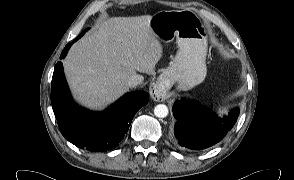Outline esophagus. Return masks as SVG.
<instances>
[{
	"label": "esophagus",
	"mask_w": 294,
	"mask_h": 180,
	"mask_svg": "<svg viewBox=\"0 0 294 180\" xmlns=\"http://www.w3.org/2000/svg\"><path fill=\"white\" fill-rule=\"evenodd\" d=\"M166 80L167 76H164L161 80H158L156 83H151L149 86L150 97L156 102H162L166 98Z\"/></svg>",
	"instance_id": "obj_1"
}]
</instances>
